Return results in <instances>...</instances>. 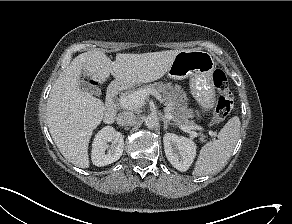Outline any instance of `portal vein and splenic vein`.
I'll return each instance as SVG.
<instances>
[{
	"label": "portal vein and splenic vein",
	"mask_w": 292,
	"mask_h": 224,
	"mask_svg": "<svg viewBox=\"0 0 292 224\" xmlns=\"http://www.w3.org/2000/svg\"><path fill=\"white\" fill-rule=\"evenodd\" d=\"M151 93L152 92L150 90H148V91H137L135 93H131V94H128L126 96H121L118 99V102H119V105L122 108H125V109L139 107V106L144 104L146 97ZM152 95H155L156 99L159 100L160 103H163L164 105H166V103H164L165 101L159 96V94L157 92H153ZM165 118L168 119V120H172L173 119V116L169 112V108L168 107L165 108ZM179 128L184 132L190 133L194 137L197 136V133L194 132V131H191L192 129L202 130V128L200 126H197V125H195L193 127L179 126ZM209 135L215 136V133L213 131H209Z\"/></svg>",
	"instance_id": "obj_1"
}]
</instances>
